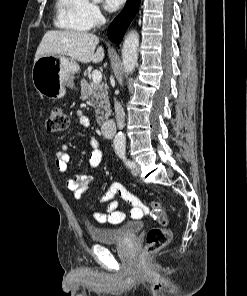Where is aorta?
I'll use <instances>...</instances> for the list:
<instances>
[{"mask_svg": "<svg viewBox=\"0 0 247 296\" xmlns=\"http://www.w3.org/2000/svg\"><path fill=\"white\" fill-rule=\"evenodd\" d=\"M102 0H93L95 3H99ZM138 46H139V35L136 31H131L125 38L122 47V61L125 72L132 73L135 69L138 59ZM115 149L125 148V136L121 132L115 135L114 138Z\"/></svg>", "mask_w": 247, "mask_h": 296, "instance_id": "obj_1", "label": "aorta"}]
</instances>
